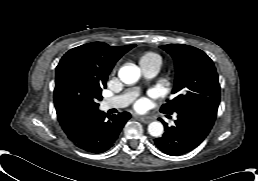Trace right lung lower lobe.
<instances>
[{
	"mask_svg": "<svg viewBox=\"0 0 258 181\" xmlns=\"http://www.w3.org/2000/svg\"><path fill=\"white\" fill-rule=\"evenodd\" d=\"M56 112L67 137L77 147L90 153H103L110 149L130 119L127 112L106 119L105 113L98 108L70 107Z\"/></svg>",
	"mask_w": 258,
	"mask_h": 181,
	"instance_id": "98d812e1",
	"label": "right lung lower lobe"
}]
</instances>
